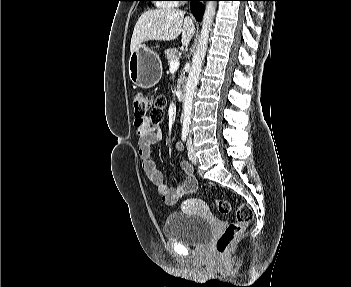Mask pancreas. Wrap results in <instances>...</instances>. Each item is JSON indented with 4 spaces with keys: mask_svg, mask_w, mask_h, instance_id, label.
I'll use <instances>...</instances> for the list:
<instances>
[{
    "mask_svg": "<svg viewBox=\"0 0 351 287\" xmlns=\"http://www.w3.org/2000/svg\"><path fill=\"white\" fill-rule=\"evenodd\" d=\"M165 57L168 60V64L174 59H177V50L175 48H170L165 50Z\"/></svg>",
    "mask_w": 351,
    "mask_h": 287,
    "instance_id": "1",
    "label": "pancreas"
}]
</instances>
